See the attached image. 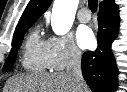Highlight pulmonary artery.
<instances>
[{
	"mask_svg": "<svg viewBox=\"0 0 127 92\" xmlns=\"http://www.w3.org/2000/svg\"><path fill=\"white\" fill-rule=\"evenodd\" d=\"M77 18L80 22L82 23H87L90 21L91 19V15L88 9L86 8H81L78 12H77Z\"/></svg>",
	"mask_w": 127,
	"mask_h": 92,
	"instance_id": "e3ab8cb5",
	"label": "pulmonary artery"
}]
</instances>
